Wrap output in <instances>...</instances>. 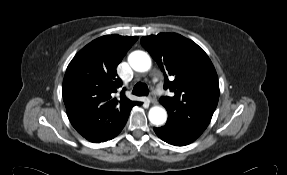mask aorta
Segmentation results:
<instances>
[{"mask_svg":"<svg viewBox=\"0 0 287 175\" xmlns=\"http://www.w3.org/2000/svg\"><path fill=\"white\" fill-rule=\"evenodd\" d=\"M131 68L137 72H147L151 68V58L144 51H134L128 57ZM149 121L155 126L163 125L167 120V112L161 106H154L149 110Z\"/></svg>","mask_w":287,"mask_h":175,"instance_id":"aorta-1","label":"aorta"}]
</instances>
